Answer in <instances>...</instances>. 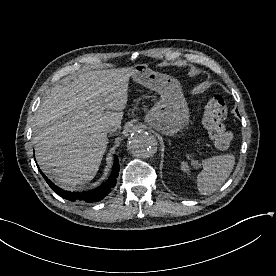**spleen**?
Returning <instances> with one entry per match:
<instances>
[{"instance_id": "1", "label": "spleen", "mask_w": 276, "mask_h": 276, "mask_svg": "<svg viewBox=\"0 0 276 276\" xmlns=\"http://www.w3.org/2000/svg\"><path fill=\"white\" fill-rule=\"evenodd\" d=\"M235 164L233 154L213 156L203 161V170L197 176V187L201 195H209L215 192L232 172ZM180 169L189 172L186 162H181Z\"/></svg>"}]
</instances>
